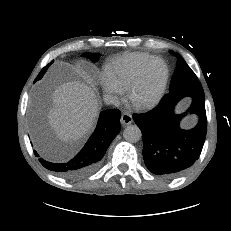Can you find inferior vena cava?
I'll return each instance as SVG.
<instances>
[{
  "label": "inferior vena cava",
  "instance_id": "602c4592",
  "mask_svg": "<svg viewBox=\"0 0 231 231\" xmlns=\"http://www.w3.org/2000/svg\"><path fill=\"white\" fill-rule=\"evenodd\" d=\"M103 99H104V102L108 105H114V106L120 105L119 98L115 95L106 94L104 95Z\"/></svg>",
  "mask_w": 231,
  "mask_h": 231
}]
</instances>
